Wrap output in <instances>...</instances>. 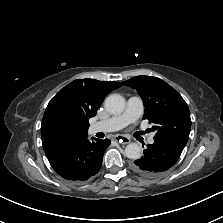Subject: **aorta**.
Masks as SVG:
<instances>
[{
  "instance_id": "762f6f07",
  "label": "aorta",
  "mask_w": 223,
  "mask_h": 223,
  "mask_svg": "<svg viewBox=\"0 0 223 223\" xmlns=\"http://www.w3.org/2000/svg\"><path fill=\"white\" fill-rule=\"evenodd\" d=\"M105 108L111 114H121L125 109V99L119 94H111L105 100ZM125 155L129 159H139L141 148L136 143H130L125 148Z\"/></svg>"
}]
</instances>
